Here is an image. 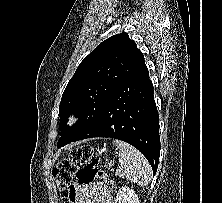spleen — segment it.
<instances>
[{"mask_svg":"<svg viewBox=\"0 0 222 203\" xmlns=\"http://www.w3.org/2000/svg\"><path fill=\"white\" fill-rule=\"evenodd\" d=\"M119 149V167L116 174L139 186H146L151 180V166L146 158L130 144L115 140Z\"/></svg>","mask_w":222,"mask_h":203,"instance_id":"obj_1","label":"spleen"}]
</instances>
